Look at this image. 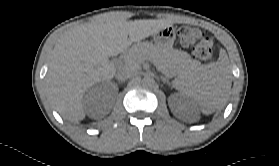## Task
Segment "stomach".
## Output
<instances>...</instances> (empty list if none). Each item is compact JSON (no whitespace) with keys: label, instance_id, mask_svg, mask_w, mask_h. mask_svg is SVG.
I'll return each instance as SVG.
<instances>
[{"label":"stomach","instance_id":"1","mask_svg":"<svg viewBox=\"0 0 279 166\" xmlns=\"http://www.w3.org/2000/svg\"><path fill=\"white\" fill-rule=\"evenodd\" d=\"M175 38L176 34L172 26L165 27L153 35L155 44L160 48L172 47Z\"/></svg>","mask_w":279,"mask_h":166}]
</instances>
